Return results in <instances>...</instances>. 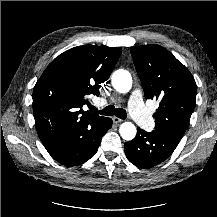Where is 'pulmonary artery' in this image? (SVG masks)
<instances>
[{
    "label": "pulmonary artery",
    "mask_w": 217,
    "mask_h": 217,
    "mask_svg": "<svg viewBox=\"0 0 217 217\" xmlns=\"http://www.w3.org/2000/svg\"><path fill=\"white\" fill-rule=\"evenodd\" d=\"M130 115L139 125L145 129L150 128L152 119L148 114L147 107L143 103L142 93L138 90L134 91L129 99Z\"/></svg>",
    "instance_id": "obj_1"
}]
</instances>
